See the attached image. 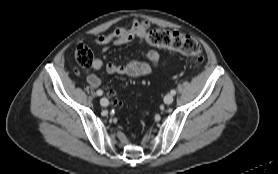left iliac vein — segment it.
<instances>
[{"mask_svg": "<svg viewBox=\"0 0 278 174\" xmlns=\"http://www.w3.org/2000/svg\"><path fill=\"white\" fill-rule=\"evenodd\" d=\"M173 102V96L171 94H167L164 97V103L169 105Z\"/></svg>", "mask_w": 278, "mask_h": 174, "instance_id": "1", "label": "left iliac vein"}]
</instances>
